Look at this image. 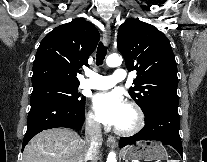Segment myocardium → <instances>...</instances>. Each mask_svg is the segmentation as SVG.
<instances>
[{"mask_svg": "<svg viewBox=\"0 0 207 162\" xmlns=\"http://www.w3.org/2000/svg\"><path fill=\"white\" fill-rule=\"evenodd\" d=\"M126 105L132 108L135 114V123L133 126L127 129L114 128L116 134L120 136H132L138 133L145 125V115L141 107L133 100H128Z\"/></svg>", "mask_w": 207, "mask_h": 162, "instance_id": "f54148a6", "label": "myocardium"}]
</instances>
